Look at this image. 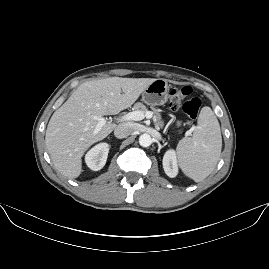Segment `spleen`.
I'll use <instances>...</instances> for the list:
<instances>
[{
	"mask_svg": "<svg viewBox=\"0 0 269 269\" xmlns=\"http://www.w3.org/2000/svg\"><path fill=\"white\" fill-rule=\"evenodd\" d=\"M192 138L179 141L176 152L184 174L201 182L214 170L222 148L220 125L212 109H201Z\"/></svg>",
	"mask_w": 269,
	"mask_h": 269,
	"instance_id": "obj_1",
	"label": "spleen"
}]
</instances>
